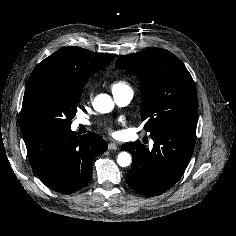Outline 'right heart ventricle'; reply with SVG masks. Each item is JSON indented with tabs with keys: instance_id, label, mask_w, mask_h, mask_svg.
Masks as SVG:
<instances>
[{
	"instance_id": "e07e8e85",
	"label": "right heart ventricle",
	"mask_w": 236,
	"mask_h": 236,
	"mask_svg": "<svg viewBox=\"0 0 236 236\" xmlns=\"http://www.w3.org/2000/svg\"><path fill=\"white\" fill-rule=\"evenodd\" d=\"M112 91H120V90H125V89H131L130 85L124 81V80H118L116 82H114L111 86Z\"/></svg>"
}]
</instances>
